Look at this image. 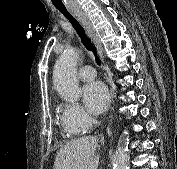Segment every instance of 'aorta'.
Masks as SVG:
<instances>
[{
	"label": "aorta",
	"instance_id": "762f6f07",
	"mask_svg": "<svg viewBox=\"0 0 177 169\" xmlns=\"http://www.w3.org/2000/svg\"><path fill=\"white\" fill-rule=\"evenodd\" d=\"M79 52L67 47L57 59L53 70V84L62 99L76 102L80 98L81 90L77 80V62ZM129 139L124 137L118 144L113 157V169H128Z\"/></svg>",
	"mask_w": 177,
	"mask_h": 169
}]
</instances>
